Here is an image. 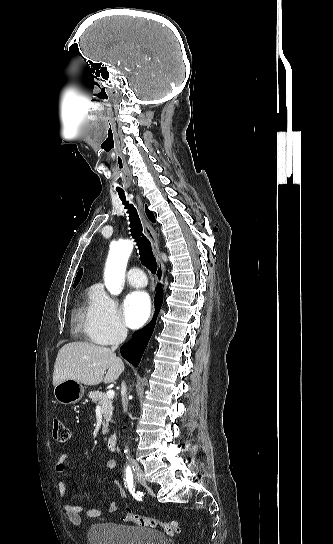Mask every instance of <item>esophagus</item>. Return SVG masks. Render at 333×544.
Listing matches in <instances>:
<instances>
[{
  "instance_id": "esophagus-1",
  "label": "esophagus",
  "mask_w": 333,
  "mask_h": 544,
  "mask_svg": "<svg viewBox=\"0 0 333 544\" xmlns=\"http://www.w3.org/2000/svg\"><path fill=\"white\" fill-rule=\"evenodd\" d=\"M135 197H136V201L142 216L146 235L151 242L152 251L157 261L155 281H156V284H160L163 279V264L160 257L158 238L152 223L149 221V219L146 216L142 199L140 198L138 194H136Z\"/></svg>"
}]
</instances>
